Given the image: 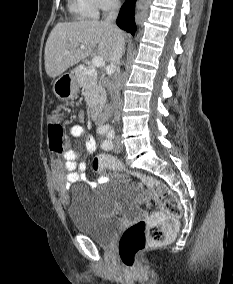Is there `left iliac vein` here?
Listing matches in <instances>:
<instances>
[{
	"mask_svg": "<svg viewBox=\"0 0 233 284\" xmlns=\"http://www.w3.org/2000/svg\"><path fill=\"white\" fill-rule=\"evenodd\" d=\"M113 150L115 152H121L123 150V144L119 137H116L113 142Z\"/></svg>",
	"mask_w": 233,
	"mask_h": 284,
	"instance_id": "left-iliac-vein-1",
	"label": "left iliac vein"
}]
</instances>
